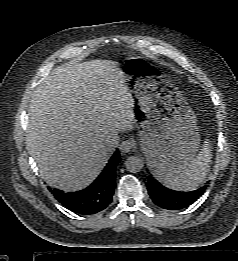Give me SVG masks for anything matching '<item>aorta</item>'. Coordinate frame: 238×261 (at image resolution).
I'll list each match as a JSON object with an SVG mask.
<instances>
[{"label":"aorta","instance_id":"obj_1","mask_svg":"<svg viewBox=\"0 0 238 261\" xmlns=\"http://www.w3.org/2000/svg\"><path fill=\"white\" fill-rule=\"evenodd\" d=\"M143 165V161L136 156H130L125 161V167L131 173L140 172L143 168Z\"/></svg>","mask_w":238,"mask_h":261}]
</instances>
